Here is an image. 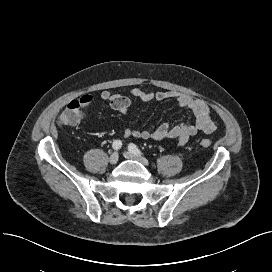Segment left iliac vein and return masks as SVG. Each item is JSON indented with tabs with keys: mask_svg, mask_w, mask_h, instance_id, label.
Listing matches in <instances>:
<instances>
[{
	"mask_svg": "<svg viewBox=\"0 0 272 272\" xmlns=\"http://www.w3.org/2000/svg\"><path fill=\"white\" fill-rule=\"evenodd\" d=\"M124 156L127 159L136 160V161L142 163L144 166H149V161L146 158H144L140 155H136V154L132 153L131 151L125 152Z\"/></svg>",
	"mask_w": 272,
	"mask_h": 272,
	"instance_id": "left-iliac-vein-1",
	"label": "left iliac vein"
}]
</instances>
